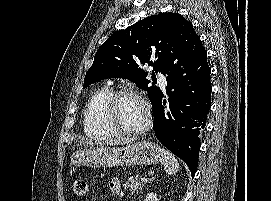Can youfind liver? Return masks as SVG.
<instances>
[{
  "mask_svg": "<svg viewBox=\"0 0 271 201\" xmlns=\"http://www.w3.org/2000/svg\"><path fill=\"white\" fill-rule=\"evenodd\" d=\"M130 142H131V139L124 138V139L110 140V141L105 142V144H107V145H125V144H128ZM79 143L86 144V145H93L94 144V142L91 141V140L79 141ZM95 144H97V143L95 142Z\"/></svg>",
  "mask_w": 271,
  "mask_h": 201,
  "instance_id": "obj_1",
  "label": "liver"
}]
</instances>
